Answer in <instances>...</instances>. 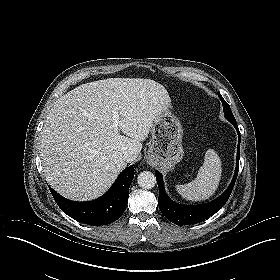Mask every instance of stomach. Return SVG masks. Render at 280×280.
<instances>
[{
	"label": "stomach",
	"mask_w": 280,
	"mask_h": 280,
	"mask_svg": "<svg viewBox=\"0 0 280 280\" xmlns=\"http://www.w3.org/2000/svg\"><path fill=\"white\" fill-rule=\"evenodd\" d=\"M151 144L147 162L158 165L164 171H171L184 156L180 121L171 112L161 113L151 127Z\"/></svg>",
	"instance_id": "stomach-1"
}]
</instances>
